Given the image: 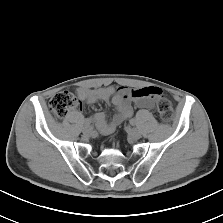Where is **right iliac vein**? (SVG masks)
<instances>
[{
	"instance_id": "63e3f726",
	"label": "right iliac vein",
	"mask_w": 223,
	"mask_h": 223,
	"mask_svg": "<svg viewBox=\"0 0 223 223\" xmlns=\"http://www.w3.org/2000/svg\"><path fill=\"white\" fill-rule=\"evenodd\" d=\"M92 130H93L92 127L88 125L83 128V133L85 135H90L92 133Z\"/></svg>"
}]
</instances>
